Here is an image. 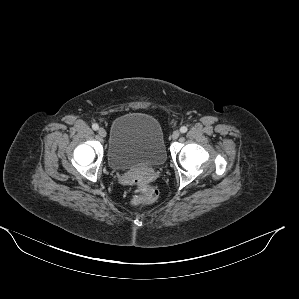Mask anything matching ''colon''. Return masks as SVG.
Masks as SVG:
<instances>
[{
	"label": "colon",
	"mask_w": 299,
	"mask_h": 299,
	"mask_svg": "<svg viewBox=\"0 0 299 299\" xmlns=\"http://www.w3.org/2000/svg\"><path fill=\"white\" fill-rule=\"evenodd\" d=\"M138 192L139 194L136 195L131 201L133 206H141L152 203L158 197V190L148 184H139Z\"/></svg>",
	"instance_id": "colon-1"
}]
</instances>
